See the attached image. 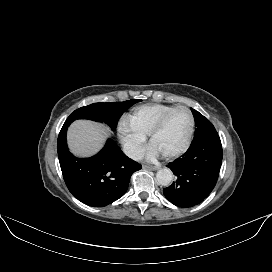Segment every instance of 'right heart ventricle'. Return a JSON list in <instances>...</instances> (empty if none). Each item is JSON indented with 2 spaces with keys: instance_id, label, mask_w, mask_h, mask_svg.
<instances>
[{
  "instance_id": "right-heart-ventricle-1",
  "label": "right heart ventricle",
  "mask_w": 272,
  "mask_h": 272,
  "mask_svg": "<svg viewBox=\"0 0 272 272\" xmlns=\"http://www.w3.org/2000/svg\"><path fill=\"white\" fill-rule=\"evenodd\" d=\"M173 107L159 103L139 106L127 116L128 125L134 131L147 136L158 119Z\"/></svg>"
}]
</instances>
